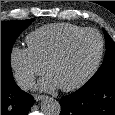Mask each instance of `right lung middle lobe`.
Instances as JSON below:
<instances>
[{
    "label": "right lung middle lobe",
    "mask_w": 115,
    "mask_h": 115,
    "mask_svg": "<svg viewBox=\"0 0 115 115\" xmlns=\"http://www.w3.org/2000/svg\"><path fill=\"white\" fill-rule=\"evenodd\" d=\"M34 20L1 22V77L12 76L10 56L12 47L19 36Z\"/></svg>",
    "instance_id": "1"
}]
</instances>
